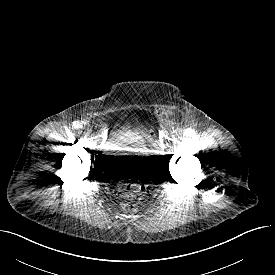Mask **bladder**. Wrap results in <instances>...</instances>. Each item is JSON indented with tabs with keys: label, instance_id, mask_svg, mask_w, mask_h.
Segmentation results:
<instances>
[{
	"label": "bladder",
	"instance_id": "bladder-1",
	"mask_svg": "<svg viewBox=\"0 0 275 275\" xmlns=\"http://www.w3.org/2000/svg\"><path fill=\"white\" fill-rule=\"evenodd\" d=\"M108 141L106 165L110 172L121 178H143L150 174L154 158L148 151V138L143 129H117Z\"/></svg>",
	"mask_w": 275,
	"mask_h": 275
}]
</instances>
